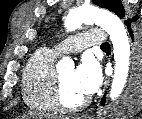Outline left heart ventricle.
I'll return each instance as SVG.
<instances>
[{
	"label": "left heart ventricle",
	"instance_id": "1",
	"mask_svg": "<svg viewBox=\"0 0 142 119\" xmlns=\"http://www.w3.org/2000/svg\"><path fill=\"white\" fill-rule=\"evenodd\" d=\"M73 69L69 68L64 71H62L59 75L61 78V83H62V95H63V100L66 104L68 105H73L83 98L82 94H80L73 85L72 77H73Z\"/></svg>",
	"mask_w": 142,
	"mask_h": 119
}]
</instances>
